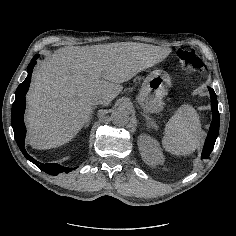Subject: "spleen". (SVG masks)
Returning <instances> with one entry per match:
<instances>
[{"label": "spleen", "instance_id": "3e777b00", "mask_svg": "<svg viewBox=\"0 0 236 236\" xmlns=\"http://www.w3.org/2000/svg\"><path fill=\"white\" fill-rule=\"evenodd\" d=\"M204 135L197 111L185 104L167 122L162 143L172 154L188 155L200 146Z\"/></svg>", "mask_w": 236, "mask_h": 236}]
</instances>
